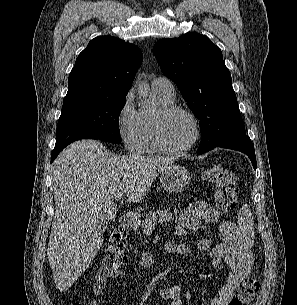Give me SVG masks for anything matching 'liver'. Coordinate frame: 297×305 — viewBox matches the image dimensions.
<instances>
[{
	"label": "liver",
	"instance_id": "6515ba94",
	"mask_svg": "<svg viewBox=\"0 0 297 305\" xmlns=\"http://www.w3.org/2000/svg\"><path fill=\"white\" fill-rule=\"evenodd\" d=\"M173 158L113 156L96 140H81L64 149L53 163L55 215L47 256L56 287L68 290L87 270L103 243L100 220L117 215L114 194L130 204L141 202L154 179Z\"/></svg>",
	"mask_w": 297,
	"mask_h": 305
}]
</instances>
